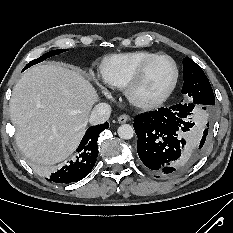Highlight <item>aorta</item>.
<instances>
[{
  "mask_svg": "<svg viewBox=\"0 0 233 233\" xmlns=\"http://www.w3.org/2000/svg\"><path fill=\"white\" fill-rule=\"evenodd\" d=\"M118 135L121 139L129 140L134 136V129L129 124H123L118 128Z\"/></svg>",
  "mask_w": 233,
  "mask_h": 233,
  "instance_id": "aorta-1",
  "label": "aorta"
}]
</instances>
